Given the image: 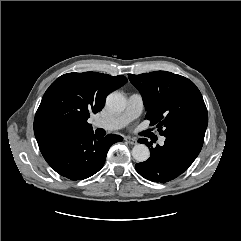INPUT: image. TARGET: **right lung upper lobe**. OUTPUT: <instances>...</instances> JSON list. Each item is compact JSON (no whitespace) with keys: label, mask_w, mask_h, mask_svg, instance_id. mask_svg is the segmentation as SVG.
<instances>
[{"label":"right lung upper lobe","mask_w":241,"mask_h":241,"mask_svg":"<svg viewBox=\"0 0 241 241\" xmlns=\"http://www.w3.org/2000/svg\"><path fill=\"white\" fill-rule=\"evenodd\" d=\"M127 78L97 72L67 73L45 92L34 119L37 142L67 133L93 131L87 119L101 111L107 95Z\"/></svg>","instance_id":"right-lung-upper-lobe-1"}]
</instances>
